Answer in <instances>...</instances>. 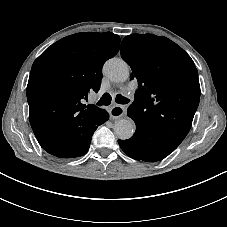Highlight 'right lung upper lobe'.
I'll return each mask as SVG.
<instances>
[{"label": "right lung upper lobe", "instance_id": "right-lung-upper-lobe-1", "mask_svg": "<svg viewBox=\"0 0 227 227\" xmlns=\"http://www.w3.org/2000/svg\"><path fill=\"white\" fill-rule=\"evenodd\" d=\"M120 37L112 32L67 36L47 48L33 63L27 86L29 119L44 147L66 150L78 127H97L106 110L83 104L98 92L105 61L118 53Z\"/></svg>", "mask_w": 227, "mask_h": 227}]
</instances>
